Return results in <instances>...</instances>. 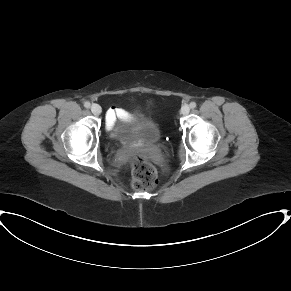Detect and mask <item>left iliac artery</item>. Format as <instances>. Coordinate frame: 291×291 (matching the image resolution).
I'll list each match as a JSON object with an SVG mask.
<instances>
[{"label": "left iliac artery", "mask_w": 291, "mask_h": 291, "mask_svg": "<svg viewBox=\"0 0 291 291\" xmlns=\"http://www.w3.org/2000/svg\"><path fill=\"white\" fill-rule=\"evenodd\" d=\"M189 106H190V108L194 109V108H196L197 104H196V102L192 101V102H190Z\"/></svg>", "instance_id": "left-iliac-artery-1"}]
</instances>
